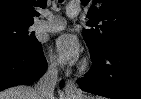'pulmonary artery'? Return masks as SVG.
I'll list each match as a JSON object with an SVG mask.
<instances>
[{
    "mask_svg": "<svg viewBox=\"0 0 141 99\" xmlns=\"http://www.w3.org/2000/svg\"><path fill=\"white\" fill-rule=\"evenodd\" d=\"M79 12L80 7L77 4H69L67 6L66 13L69 17L74 18L79 14ZM42 15L46 18V20H40L38 22L39 29L46 32H57L65 28L66 21L64 18L57 15H53L48 11H44Z\"/></svg>",
    "mask_w": 141,
    "mask_h": 99,
    "instance_id": "obj_1",
    "label": "pulmonary artery"
}]
</instances>
